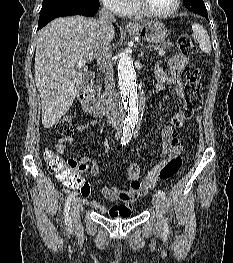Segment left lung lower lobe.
Masks as SVG:
<instances>
[{
  "label": "left lung lower lobe",
  "mask_w": 233,
  "mask_h": 263,
  "mask_svg": "<svg viewBox=\"0 0 233 263\" xmlns=\"http://www.w3.org/2000/svg\"><path fill=\"white\" fill-rule=\"evenodd\" d=\"M200 15H202V16H204L205 18L208 19V17H207V12H204L203 14H200Z\"/></svg>",
  "instance_id": "1"
}]
</instances>
